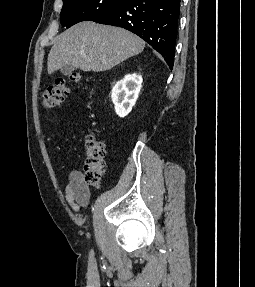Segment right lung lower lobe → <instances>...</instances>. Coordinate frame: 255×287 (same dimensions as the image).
I'll list each match as a JSON object with an SVG mask.
<instances>
[{
  "mask_svg": "<svg viewBox=\"0 0 255 287\" xmlns=\"http://www.w3.org/2000/svg\"><path fill=\"white\" fill-rule=\"evenodd\" d=\"M180 0H125L92 21L125 28L158 51L173 68Z\"/></svg>",
  "mask_w": 255,
  "mask_h": 287,
  "instance_id": "1",
  "label": "right lung lower lobe"
}]
</instances>
